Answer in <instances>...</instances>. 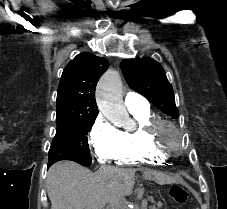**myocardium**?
<instances>
[{"label":"myocardium","instance_id":"obj_1","mask_svg":"<svg viewBox=\"0 0 227 209\" xmlns=\"http://www.w3.org/2000/svg\"><path fill=\"white\" fill-rule=\"evenodd\" d=\"M169 127L180 139V144H165L161 139V131ZM145 141L153 148L163 152L167 156L184 152L188 146V140L183 130L172 120L155 117L143 126Z\"/></svg>","mask_w":227,"mask_h":209}]
</instances>
